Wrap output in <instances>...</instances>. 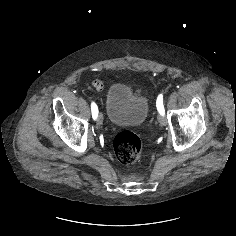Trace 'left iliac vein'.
I'll list each match as a JSON object with an SVG mask.
<instances>
[{"label": "left iliac vein", "mask_w": 236, "mask_h": 236, "mask_svg": "<svg viewBox=\"0 0 236 236\" xmlns=\"http://www.w3.org/2000/svg\"><path fill=\"white\" fill-rule=\"evenodd\" d=\"M158 121H159L161 126H165L167 124V121H166L165 117L161 114L158 116Z\"/></svg>", "instance_id": "4c4485c4"}]
</instances>
